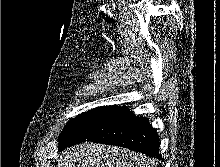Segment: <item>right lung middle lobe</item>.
Returning <instances> with one entry per match:
<instances>
[{"mask_svg": "<svg viewBox=\"0 0 220 167\" xmlns=\"http://www.w3.org/2000/svg\"><path fill=\"white\" fill-rule=\"evenodd\" d=\"M111 108L112 106L97 107L70 120L58 139L59 151L83 142L108 115Z\"/></svg>", "mask_w": 220, "mask_h": 167, "instance_id": "dd1d6c3e", "label": "right lung middle lobe"}]
</instances>
